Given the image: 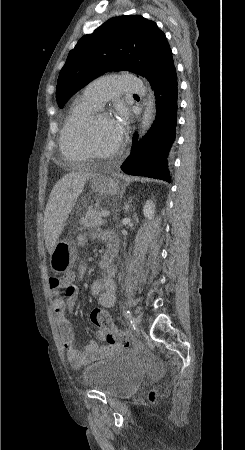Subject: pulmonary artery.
Returning <instances> with one entry per match:
<instances>
[{"label":"pulmonary artery","instance_id":"obj_1","mask_svg":"<svg viewBox=\"0 0 245 450\" xmlns=\"http://www.w3.org/2000/svg\"><path fill=\"white\" fill-rule=\"evenodd\" d=\"M144 82L132 75L103 76L90 82L83 90L86 98L101 107L107 100L121 94L141 93Z\"/></svg>","mask_w":245,"mask_h":450}]
</instances>
